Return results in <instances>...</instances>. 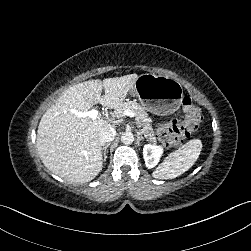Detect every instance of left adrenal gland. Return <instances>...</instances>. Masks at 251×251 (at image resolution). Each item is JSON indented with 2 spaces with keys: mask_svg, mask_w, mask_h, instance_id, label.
Returning <instances> with one entry per match:
<instances>
[{
  "mask_svg": "<svg viewBox=\"0 0 251 251\" xmlns=\"http://www.w3.org/2000/svg\"><path fill=\"white\" fill-rule=\"evenodd\" d=\"M136 138H137V141L139 142L140 140H142L144 137L142 134H140L139 131H136Z\"/></svg>",
  "mask_w": 251,
  "mask_h": 251,
  "instance_id": "left-adrenal-gland-1",
  "label": "left adrenal gland"
}]
</instances>
